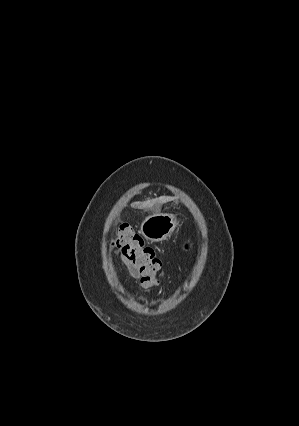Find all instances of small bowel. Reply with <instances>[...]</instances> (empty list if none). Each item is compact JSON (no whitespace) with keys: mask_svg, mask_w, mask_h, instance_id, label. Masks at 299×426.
Returning <instances> with one entry per match:
<instances>
[{"mask_svg":"<svg viewBox=\"0 0 299 426\" xmlns=\"http://www.w3.org/2000/svg\"><path fill=\"white\" fill-rule=\"evenodd\" d=\"M120 264L123 269L128 273V275L136 280L140 279V273L138 267L125 255L122 253L119 254Z\"/></svg>","mask_w":299,"mask_h":426,"instance_id":"obj_1","label":"small bowel"}]
</instances>
